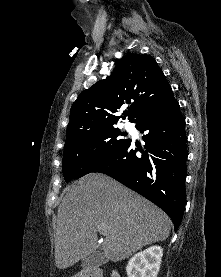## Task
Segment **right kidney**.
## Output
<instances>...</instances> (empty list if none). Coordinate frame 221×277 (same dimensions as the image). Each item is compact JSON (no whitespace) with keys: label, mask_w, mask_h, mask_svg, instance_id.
I'll use <instances>...</instances> for the list:
<instances>
[{"label":"right kidney","mask_w":221,"mask_h":277,"mask_svg":"<svg viewBox=\"0 0 221 277\" xmlns=\"http://www.w3.org/2000/svg\"><path fill=\"white\" fill-rule=\"evenodd\" d=\"M163 249L160 246H151L132 256L126 266L128 277H157Z\"/></svg>","instance_id":"ca27d5eb"}]
</instances>
